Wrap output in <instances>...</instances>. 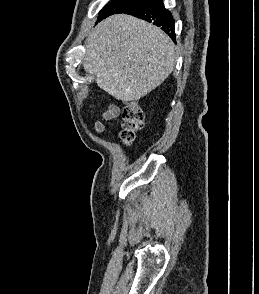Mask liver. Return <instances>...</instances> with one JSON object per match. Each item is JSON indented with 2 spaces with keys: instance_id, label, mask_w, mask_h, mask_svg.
I'll return each instance as SVG.
<instances>
[{
  "instance_id": "obj_1",
  "label": "liver",
  "mask_w": 259,
  "mask_h": 294,
  "mask_svg": "<svg viewBox=\"0 0 259 294\" xmlns=\"http://www.w3.org/2000/svg\"><path fill=\"white\" fill-rule=\"evenodd\" d=\"M174 44L158 27L117 14L101 21L86 39L83 66L114 98L138 101L173 71Z\"/></svg>"
}]
</instances>
